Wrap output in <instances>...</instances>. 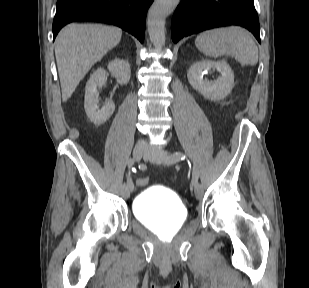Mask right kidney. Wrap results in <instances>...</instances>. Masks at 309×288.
I'll return each instance as SVG.
<instances>
[{
	"instance_id": "right-kidney-1",
	"label": "right kidney",
	"mask_w": 309,
	"mask_h": 288,
	"mask_svg": "<svg viewBox=\"0 0 309 288\" xmlns=\"http://www.w3.org/2000/svg\"><path fill=\"white\" fill-rule=\"evenodd\" d=\"M108 70L116 78L117 83L126 85L131 77L130 65L127 61L115 59L108 64ZM107 82L106 71L97 69L90 77L85 89L84 108L88 118L97 124L105 123L113 114L115 105L110 100L106 101L101 109L98 106V91Z\"/></svg>"
}]
</instances>
